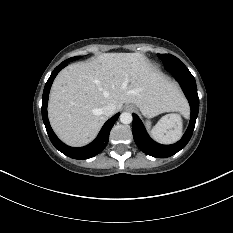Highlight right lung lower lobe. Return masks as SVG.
Instances as JSON below:
<instances>
[{
	"mask_svg": "<svg viewBox=\"0 0 233 233\" xmlns=\"http://www.w3.org/2000/svg\"><path fill=\"white\" fill-rule=\"evenodd\" d=\"M69 61L65 60L62 62L59 66H57L54 71L51 73L43 91V97H42V118L43 122L45 124L48 136L50 138V141L55 146L57 150L62 152L68 157H71L73 159H88L91 157H94L98 153H100L107 145L109 140V133L116 122L117 118L119 117L120 113H117L112 118H110L102 127L100 133L98 134L97 138L90 143L87 146L81 147V148H73L65 145L63 142H61L55 133L53 132L49 120L47 117V103H48V97L51 85L53 83L54 78L59 73L61 69L67 66V63Z\"/></svg>",
	"mask_w": 233,
	"mask_h": 233,
	"instance_id": "98d812e1",
	"label": "right lung lower lobe"
}]
</instances>
